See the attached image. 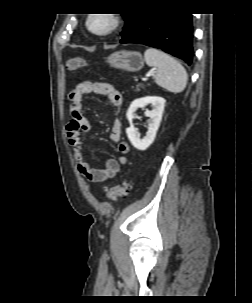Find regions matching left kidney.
I'll list each match as a JSON object with an SVG mask.
<instances>
[{"label":"left kidney","mask_w":252,"mask_h":303,"mask_svg":"<svg viewBox=\"0 0 252 303\" xmlns=\"http://www.w3.org/2000/svg\"><path fill=\"white\" fill-rule=\"evenodd\" d=\"M165 99L158 96H146L135 99L127 110L126 117L130 123V127L126 129V134L131 144L138 150H146L154 141L156 133L162 120V115L165 107ZM151 104L152 111L146 110L145 115L149 117L146 136L140 139L136 135V128L133 125L134 113L138 108H144Z\"/></svg>","instance_id":"1"}]
</instances>
